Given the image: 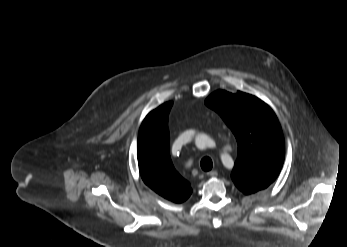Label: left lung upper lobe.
I'll return each instance as SVG.
<instances>
[{
    "label": "left lung upper lobe",
    "mask_w": 347,
    "mask_h": 247,
    "mask_svg": "<svg viewBox=\"0 0 347 247\" xmlns=\"http://www.w3.org/2000/svg\"><path fill=\"white\" fill-rule=\"evenodd\" d=\"M205 104L234 133L238 154L231 177L244 194L268 187L284 162V137L272 109L257 97L238 91L212 93Z\"/></svg>",
    "instance_id": "1"
}]
</instances>
